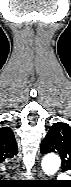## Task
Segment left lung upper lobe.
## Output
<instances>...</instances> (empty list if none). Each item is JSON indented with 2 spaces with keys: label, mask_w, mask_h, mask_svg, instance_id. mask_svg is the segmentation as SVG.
<instances>
[{
  "label": "left lung upper lobe",
  "mask_w": 71,
  "mask_h": 187,
  "mask_svg": "<svg viewBox=\"0 0 71 187\" xmlns=\"http://www.w3.org/2000/svg\"><path fill=\"white\" fill-rule=\"evenodd\" d=\"M40 150L42 154L58 153L63 171H71V126L62 122L54 123L43 139Z\"/></svg>",
  "instance_id": "obj_1"
}]
</instances>
